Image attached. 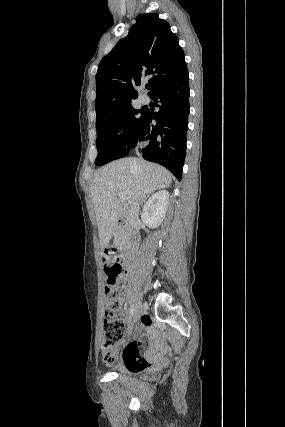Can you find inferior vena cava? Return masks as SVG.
Masks as SVG:
<instances>
[{"mask_svg":"<svg viewBox=\"0 0 285 427\" xmlns=\"http://www.w3.org/2000/svg\"><path fill=\"white\" fill-rule=\"evenodd\" d=\"M140 199L138 198L134 203L130 205L128 210V222L129 225L133 226L138 220Z\"/></svg>","mask_w":285,"mask_h":427,"instance_id":"602c4592","label":"inferior vena cava"}]
</instances>
